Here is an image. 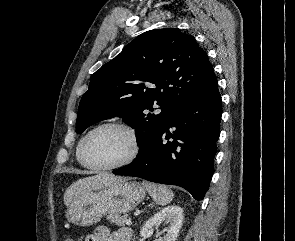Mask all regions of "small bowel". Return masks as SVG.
I'll list each match as a JSON object with an SVG mask.
<instances>
[{"mask_svg": "<svg viewBox=\"0 0 295 241\" xmlns=\"http://www.w3.org/2000/svg\"><path fill=\"white\" fill-rule=\"evenodd\" d=\"M131 231L126 228H121L116 231H111L106 226H98L94 232L88 235L85 241H130Z\"/></svg>", "mask_w": 295, "mask_h": 241, "instance_id": "small-bowel-1", "label": "small bowel"}]
</instances>
